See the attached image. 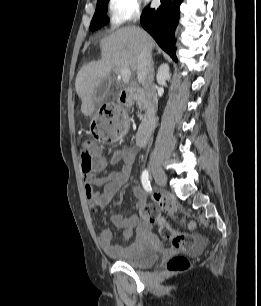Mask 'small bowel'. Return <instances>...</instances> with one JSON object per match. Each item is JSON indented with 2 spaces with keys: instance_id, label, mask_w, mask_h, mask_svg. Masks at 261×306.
I'll return each instance as SVG.
<instances>
[{
  "instance_id": "obj_1",
  "label": "small bowel",
  "mask_w": 261,
  "mask_h": 306,
  "mask_svg": "<svg viewBox=\"0 0 261 306\" xmlns=\"http://www.w3.org/2000/svg\"><path fill=\"white\" fill-rule=\"evenodd\" d=\"M135 155V151L132 148L122 147L115 150L110 159H105L103 157L96 168L91 171H83L85 195L92 210L103 208L114 200L117 193L128 182L132 175ZM117 165L120 166L119 170L110 171L103 176L100 175L106 171L108 166ZM96 187H100L102 190L97 191ZM132 192L137 198L136 207L139 208L145 205L147 196L141 187L134 186ZM109 220L117 228L122 229L123 236L126 240L132 237L135 228H147L146 224L140 222L137 215L128 217L114 215L111 216ZM97 240L101 249L109 256L120 258L133 252L134 244L130 246L115 244L113 241V233L108 228H104L100 231Z\"/></svg>"
}]
</instances>
